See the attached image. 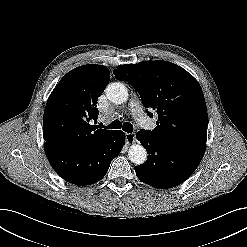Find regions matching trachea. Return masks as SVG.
Instances as JSON below:
<instances>
[{
    "instance_id": "trachea-1",
    "label": "trachea",
    "mask_w": 247,
    "mask_h": 247,
    "mask_svg": "<svg viewBox=\"0 0 247 247\" xmlns=\"http://www.w3.org/2000/svg\"><path fill=\"white\" fill-rule=\"evenodd\" d=\"M102 128H108V129H121L125 132L131 133L133 131V125L131 123L125 122L121 123L119 120H114L110 125L104 126L102 123L99 124Z\"/></svg>"
}]
</instances>
